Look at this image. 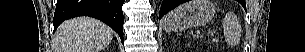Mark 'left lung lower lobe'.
<instances>
[{"mask_svg": "<svg viewBox=\"0 0 305 52\" xmlns=\"http://www.w3.org/2000/svg\"><path fill=\"white\" fill-rule=\"evenodd\" d=\"M184 2H186V0H163L160 9L159 19H161L164 14L172 10L174 7Z\"/></svg>", "mask_w": 305, "mask_h": 52, "instance_id": "1", "label": "left lung lower lobe"}]
</instances>
